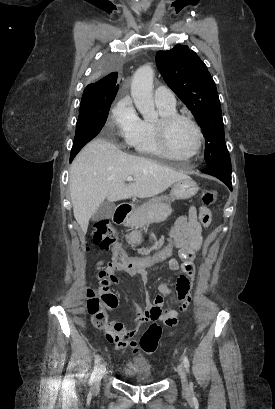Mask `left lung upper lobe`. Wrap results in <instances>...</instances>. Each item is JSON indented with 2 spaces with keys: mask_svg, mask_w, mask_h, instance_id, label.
<instances>
[{
  "mask_svg": "<svg viewBox=\"0 0 275 409\" xmlns=\"http://www.w3.org/2000/svg\"><path fill=\"white\" fill-rule=\"evenodd\" d=\"M155 59L164 81L192 112L204 133L206 165L231 170L220 101L206 65L185 45L158 51Z\"/></svg>",
  "mask_w": 275,
  "mask_h": 409,
  "instance_id": "1",
  "label": "left lung upper lobe"
}]
</instances>
